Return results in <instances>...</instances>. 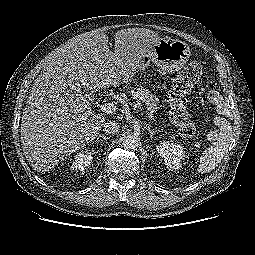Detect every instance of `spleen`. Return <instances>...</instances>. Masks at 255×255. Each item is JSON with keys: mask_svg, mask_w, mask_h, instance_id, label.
Masks as SVG:
<instances>
[{"mask_svg": "<svg viewBox=\"0 0 255 255\" xmlns=\"http://www.w3.org/2000/svg\"><path fill=\"white\" fill-rule=\"evenodd\" d=\"M219 134L216 142L209 146L199 159L198 172L208 173L215 169L223 159L232 140V126L224 118H219Z\"/></svg>", "mask_w": 255, "mask_h": 255, "instance_id": "obj_1", "label": "spleen"}]
</instances>
